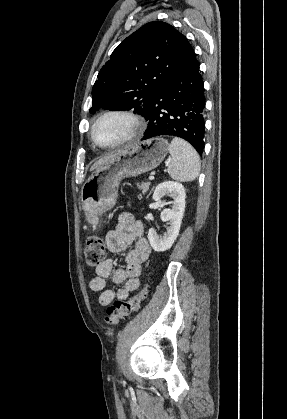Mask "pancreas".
<instances>
[{
  "label": "pancreas",
  "mask_w": 287,
  "mask_h": 419,
  "mask_svg": "<svg viewBox=\"0 0 287 419\" xmlns=\"http://www.w3.org/2000/svg\"><path fill=\"white\" fill-rule=\"evenodd\" d=\"M150 182H142L138 185V188L142 191V193H146L149 190Z\"/></svg>",
  "instance_id": "obj_1"
}]
</instances>
